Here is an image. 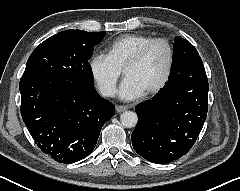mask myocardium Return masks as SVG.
Segmentation results:
<instances>
[{
    "instance_id": "myocardium-1",
    "label": "myocardium",
    "mask_w": 240,
    "mask_h": 191,
    "mask_svg": "<svg viewBox=\"0 0 240 191\" xmlns=\"http://www.w3.org/2000/svg\"><path fill=\"white\" fill-rule=\"evenodd\" d=\"M156 43H163L166 46L168 51V63H167L165 74L161 79V81L158 84H156L154 87L150 88L148 91L144 92L143 94L145 96L154 95L160 92L166 86V84L168 83L171 77L172 69L174 65V49L171 42L168 39L163 37L152 38L137 50V52L126 62V64L122 69L123 74L125 75L126 70L139 64L143 60L144 56L146 55L148 50L151 48V46H153Z\"/></svg>"
}]
</instances>
